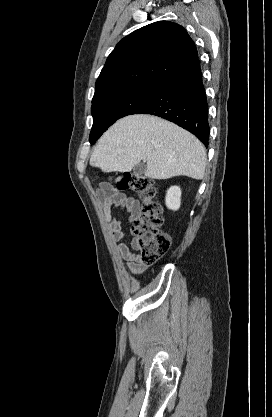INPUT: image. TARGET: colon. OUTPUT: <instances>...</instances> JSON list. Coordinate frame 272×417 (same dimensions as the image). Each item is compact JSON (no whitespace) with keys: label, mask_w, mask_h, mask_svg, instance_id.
<instances>
[{"label":"colon","mask_w":272,"mask_h":417,"mask_svg":"<svg viewBox=\"0 0 272 417\" xmlns=\"http://www.w3.org/2000/svg\"><path fill=\"white\" fill-rule=\"evenodd\" d=\"M115 184L119 190L135 192L142 201L140 212L131 225V233L135 237L141 262L152 265L171 245L170 236L160 229L163 209L156 201L155 182L144 175L124 173L115 178Z\"/></svg>","instance_id":"obj_1"}]
</instances>
